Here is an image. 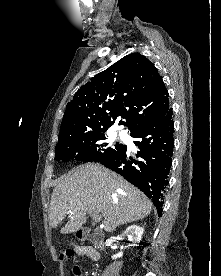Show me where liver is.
I'll use <instances>...</instances> for the list:
<instances>
[{"label":"liver","instance_id":"6515ba94","mask_svg":"<svg viewBox=\"0 0 221 276\" xmlns=\"http://www.w3.org/2000/svg\"><path fill=\"white\" fill-rule=\"evenodd\" d=\"M152 210V202L120 175L99 164L78 166L53 190L50 224L53 228L69 215L62 234L74 233L87 221V214L101 213L106 232L141 220Z\"/></svg>","mask_w":221,"mask_h":276}]
</instances>
